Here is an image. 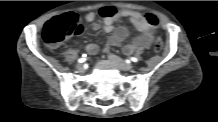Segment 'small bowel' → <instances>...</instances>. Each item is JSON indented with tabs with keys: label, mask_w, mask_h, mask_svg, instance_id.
I'll use <instances>...</instances> for the list:
<instances>
[{
	"label": "small bowel",
	"mask_w": 218,
	"mask_h": 122,
	"mask_svg": "<svg viewBox=\"0 0 218 122\" xmlns=\"http://www.w3.org/2000/svg\"><path fill=\"white\" fill-rule=\"evenodd\" d=\"M120 19H128L140 32L139 36L125 46V52L134 53L141 48H149L152 45L155 39L156 26L151 25L146 16L140 12L126 9L117 10L113 6H104L98 12H89L85 16V20L91 23L93 30L103 27L105 32L112 33L108 40L110 46L119 45L128 36V30L125 27L114 28V22ZM85 51L87 54L94 56L98 53V46L93 43L88 44Z\"/></svg>",
	"instance_id": "obj_1"
}]
</instances>
